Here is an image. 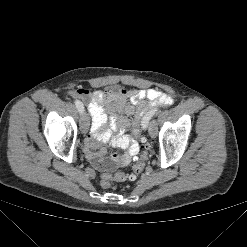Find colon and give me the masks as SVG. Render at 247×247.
Returning <instances> with one entry per match:
<instances>
[{"instance_id":"5ec220e1","label":"colon","mask_w":247,"mask_h":247,"mask_svg":"<svg viewBox=\"0 0 247 247\" xmlns=\"http://www.w3.org/2000/svg\"><path fill=\"white\" fill-rule=\"evenodd\" d=\"M143 125L142 121L136 122L133 127L132 131L134 136L140 141V155L135 159V164L133 165L132 172L130 174L125 173H116L114 175L111 174H103L102 175V186L105 188H109L113 181H126V180H134L138 175H140L149 159L150 156V146L143 134Z\"/></svg>"}]
</instances>
